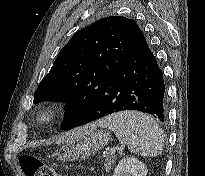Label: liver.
<instances>
[{"instance_id": "obj_1", "label": "liver", "mask_w": 205, "mask_h": 176, "mask_svg": "<svg viewBox=\"0 0 205 176\" xmlns=\"http://www.w3.org/2000/svg\"><path fill=\"white\" fill-rule=\"evenodd\" d=\"M86 126L84 127H81V128H77V129H74L68 133H66L65 135H63L62 137H60L57 141L58 144H61V143H68L70 142L71 140L75 139V138H78L80 136V134L82 133V131L85 129Z\"/></svg>"}]
</instances>
